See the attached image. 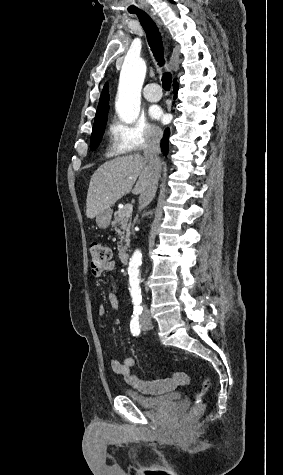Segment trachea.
I'll return each mask as SVG.
<instances>
[{
  "label": "trachea",
  "mask_w": 283,
  "mask_h": 475,
  "mask_svg": "<svg viewBox=\"0 0 283 475\" xmlns=\"http://www.w3.org/2000/svg\"><path fill=\"white\" fill-rule=\"evenodd\" d=\"M139 18V21L144 28L147 36L148 44L151 48V51L154 55L155 60L158 63V66L164 67V52H163V42L162 37L159 32L158 27L145 12L135 13ZM172 83V75L170 72H165L163 69L162 75V87L165 91H169Z\"/></svg>",
  "instance_id": "1"
}]
</instances>
